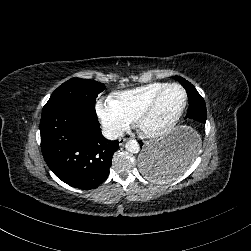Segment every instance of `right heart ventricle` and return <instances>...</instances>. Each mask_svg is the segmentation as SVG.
<instances>
[{"label":"right heart ventricle","mask_w":251,"mask_h":251,"mask_svg":"<svg viewBox=\"0 0 251 251\" xmlns=\"http://www.w3.org/2000/svg\"><path fill=\"white\" fill-rule=\"evenodd\" d=\"M167 83L151 82L136 88L123 91L117 95L118 102L130 114L138 116L140 110L162 89Z\"/></svg>","instance_id":"obj_1"}]
</instances>
